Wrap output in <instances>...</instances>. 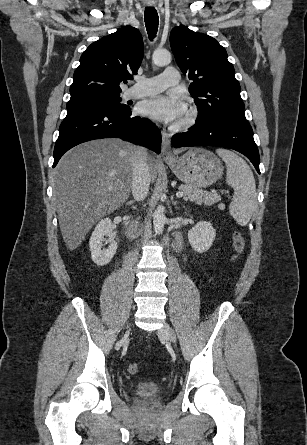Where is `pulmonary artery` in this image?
Listing matches in <instances>:
<instances>
[{
    "label": "pulmonary artery",
    "instance_id": "pulmonary-artery-1",
    "mask_svg": "<svg viewBox=\"0 0 307 445\" xmlns=\"http://www.w3.org/2000/svg\"><path fill=\"white\" fill-rule=\"evenodd\" d=\"M180 72L174 67H167L157 72L136 77V88L130 86L128 96L130 98L154 95L171 84L180 83ZM160 80V81H149Z\"/></svg>",
    "mask_w": 307,
    "mask_h": 445
}]
</instances>
